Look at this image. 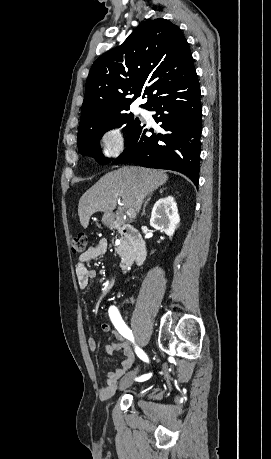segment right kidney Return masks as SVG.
Returning a JSON list of instances; mask_svg holds the SVG:
<instances>
[{
    "instance_id": "obj_1",
    "label": "right kidney",
    "mask_w": 271,
    "mask_h": 459,
    "mask_svg": "<svg viewBox=\"0 0 271 459\" xmlns=\"http://www.w3.org/2000/svg\"><path fill=\"white\" fill-rule=\"evenodd\" d=\"M179 222L177 204L172 196L161 198L156 202L150 218L152 228L161 229L167 235H173L175 229L180 226Z\"/></svg>"
}]
</instances>
